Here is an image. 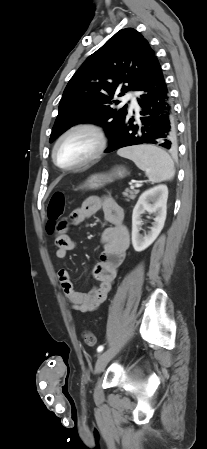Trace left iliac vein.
I'll return each instance as SVG.
<instances>
[{"instance_id": "left-iliac-vein-1", "label": "left iliac vein", "mask_w": 207, "mask_h": 449, "mask_svg": "<svg viewBox=\"0 0 207 449\" xmlns=\"http://www.w3.org/2000/svg\"><path fill=\"white\" fill-rule=\"evenodd\" d=\"M115 352H116V348H110V349L102 352L98 356V359H97L96 365H95L96 373H100L105 369V367L107 366L108 362L111 360V358L113 357Z\"/></svg>"}]
</instances>
